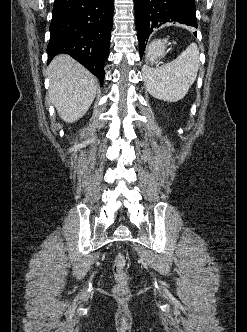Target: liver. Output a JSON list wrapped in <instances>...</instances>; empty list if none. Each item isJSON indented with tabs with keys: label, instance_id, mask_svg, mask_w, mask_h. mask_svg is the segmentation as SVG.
I'll use <instances>...</instances> for the list:
<instances>
[{
	"label": "liver",
	"instance_id": "liver-1",
	"mask_svg": "<svg viewBox=\"0 0 247 332\" xmlns=\"http://www.w3.org/2000/svg\"><path fill=\"white\" fill-rule=\"evenodd\" d=\"M49 95L62 120L73 123L91 106L98 80L86 68L67 55L56 56L48 67Z\"/></svg>",
	"mask_w": 247,
	"mask_h": 332
}]
</instances>
